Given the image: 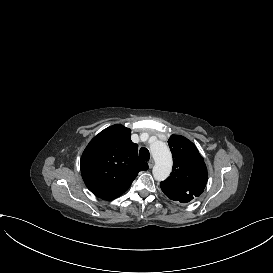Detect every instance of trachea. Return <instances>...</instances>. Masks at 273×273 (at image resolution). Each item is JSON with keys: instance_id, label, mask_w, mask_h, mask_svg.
<instances>
[{"instance_id": "1", "label": "trachea", "mask_w": 273, "mask_h": 273, "mask_svg": "<svg viewBox=\"0 0 273 273\" xmlns=\"http://www.w3.org/2000/svg\"><path fill=\"white\" fill-rule=\"evenodd\" d=\"M139 157L143 160V161H148L150 158V154L149 151L147 150V148H141L139 151Z\"/></svg>"}]
</instances>
